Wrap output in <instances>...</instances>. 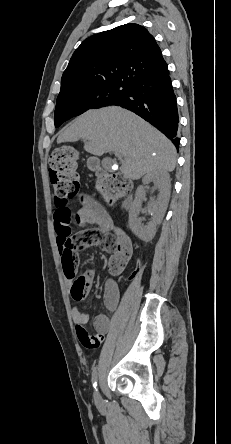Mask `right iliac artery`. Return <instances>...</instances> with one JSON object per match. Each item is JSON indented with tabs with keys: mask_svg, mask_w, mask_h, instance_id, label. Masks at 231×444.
Here are the masks:
<instances>
[{
	"mask_svg": "<svg viewBox=\"0 0 231 444\" xmlns=\"http://www.w3.org/2000/svg\"><path fill=\"white\" fill-rule=\"evenodd\" d=\"M92 384H93V387L96 388V386H97V367H94L93 372H92Z\"/></svg>",
	"mask_w": 231,
	"mask_h": 444,
	"instance_id": "right-iliac-artery-1",
	"label": "right iliac artery"
}]
</instances>
